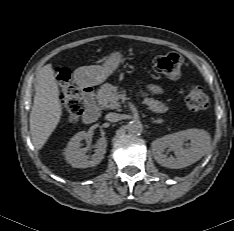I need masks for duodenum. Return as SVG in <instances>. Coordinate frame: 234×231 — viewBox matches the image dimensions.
<instances>
[{
    "label": "duodenum",
    "instance_id": "duodenum-1",
    "mask_svg": "<svg viewBox=\"0 0 234 231\" xmlns=\"http://www.w3.org/2000/svg\"><path fill=\"white\" fill-rule=\"evenodd\" d=\"M80 90L82 98L86 104L85 110L82 115L84 123H92L99 117V111L95 102L94 88L88 83L81 82Z\"/></svg>",
    "mask_w": 234,
    "mask_h": 231
}]
</instances>
